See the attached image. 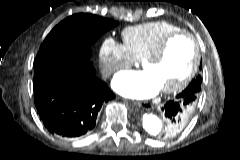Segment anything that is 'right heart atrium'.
Returning <instances> with one entry per match:
<instances>
[{"instance_id":"d8ad5b80","label":"right heart atrium","mask_w":240,"mask_h":160,"mask_svg":"<svg viewBox=\"0 0 240 160\" xmlns=\"http://www.w3.org/2000/svg\"><path fill=\"white\" fill-rule=\"evenodd\" d=\"M133 63L124 44L106 38L99 48V64L104 77H111Z\"/></svg>"}]
</instances>
